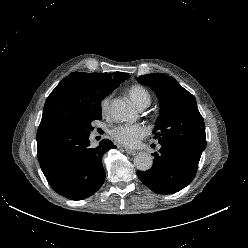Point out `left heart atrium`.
Returning <instances> with one entry per match:
<instances>
[{
    "label": "left heart atrium",
    "mask_w": 248,
    "mask_h": 248,
    "mask_svg": "<svg viewBox=\"0 0 248 248\" xmlns=\"http://www.w3.org/2000/svg\"><path fill=\"white\" fill-rule=\"evenodd\" d=\"M112 137L120 144L127 147H134L147 136L148 130L140 124L119 125L113 128Z\"/></svg>",
    "instance_id": "1"
}]
</instances>
